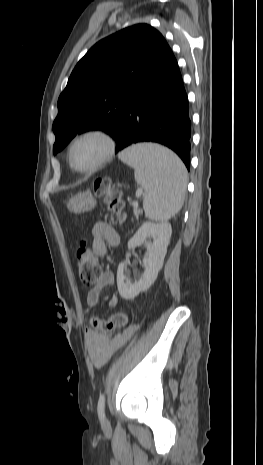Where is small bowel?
Segmentation results:
<instances>
[{
  "label": "small bowel",
  "mask_w": 263,
  "mask_h": 465,
  "mask_svg": "<svg viewBox=\"0 0 263 465\" xmlns=\"http://www.w3.org/2000/svg\"><path fill=\"white\" fill-rule=\"evenodd\" d=\"M93 235V252L96 256H105L108 246H116L120 241L119 233L104 222H97L92 227ZM114 283V274L111 271L102 273L100 280L95 288L87 293V311L96 307L102 290ZM119 303L117 295H113L108 305L115 308ZM139 329L138 325L123 331L117 335L103 334L92 329H86L85 339L89 356L97 368L107 363L111 356L122 346L131 334H136Z\"/></svg>",
  "instance_id": "obj_1"
}]
</instances>
